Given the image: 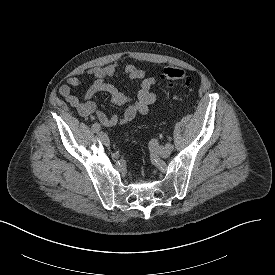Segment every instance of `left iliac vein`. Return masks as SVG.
Instances as JSON below:
<instances>
[{
	"instance_id": "left-iliac-vein-1",
	"label": "left iliac vein",
	"mask_w": 275,
	"mask_h": 275,
	"mask_svg": "<svg viewBox=\"0 0 275 275\" xmlns=\"http://www.w3.org/2000/svg\"><path fill=\"white\" fill-rule=\"evenodd\" d=\"M170 153H171V150L166 146H160L158 148V154L163 158H167L170 155Z\"/></svg>"
}]
</instances>
